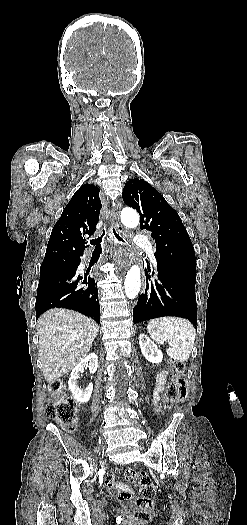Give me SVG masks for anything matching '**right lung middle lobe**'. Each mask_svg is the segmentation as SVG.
<instances>
[{"label":"right lung middle lobe","instance_id":"1","mask_svg":"<svg viewBox=\"0 0 247 525\" xmlns=\"http://www.w3.org/2000/svg\"><path fill=\"white\" fill-rule=\"evenodd\" d=\"M74 264V258L71 257H59L52 260L46 267L40 269V278L58 272L67 268H70Z\"/></svg>","mask_w":247,"mask_h":525}]
</instances>
